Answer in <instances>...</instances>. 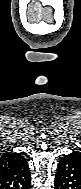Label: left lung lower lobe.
Here are the masks:
<instances>
[{
  "instance_id": "1",
  "label": "left lung lower lobe",
  "mask_w": 81,
  "mask_h": 189,
  "mask_svg": "<svg viewBox=\"0 0 81 189\" xmlns=\"http://www.w3.org/2000/svg\"><path fill=\"white\" fill-rule=\"evenodd\" d=\"M55 189H81V164L71 155H65L58 163Z\"/></svg>"
}]
</instances>
